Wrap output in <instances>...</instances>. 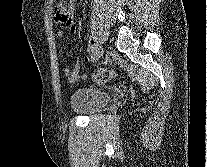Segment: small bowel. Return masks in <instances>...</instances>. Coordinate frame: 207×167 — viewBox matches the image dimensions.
I'll use <instances>...</instances> for the list:
<instances>
[{
    "label": "small bowel",
    "instance_id": "c3829d8e",
    "mask_svg": "<svg viewBox=\"0 0 207 167\" xmlns=\"http://www.w3.org/2000/svg\"><path fill=\"white\" fill-rule=\"evenodd\" d=\"M77 0H59L56 6L57 14L55 16L56 23L66 26L72 35H75L77 28L74 23V15L76 11ZM59 37L63 36V32L59 31L57 34ZM85 62H89L91 57L86 55L83 57ZM80 61L77 59L73 65V68L65 67L64 74L70 82H77L85 80L87 75L79 71Z\"/></svg>",
    "mask_w": 207,
    "mask_h": 167
}]
</instances>
